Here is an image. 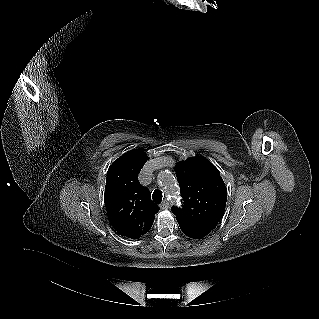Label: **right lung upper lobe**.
Masks as SVG:
<instances>
[{
	"label": "right lung upper lobe",
	"instance_id": "cb5924a9",
	"mask_svg": "<svg viewBox=\"0 0 319 319\" xmlns=\"http://www.w3.org/2000/svg\"><path fill=\"white\" fill-rule=\"evenodd\" d=\"M148 160L141 149L120 156L109 167L105 187V206L109 222L121 236L137 239L147 233L159 211L148 188L138 174Z\"/></svg>",
	"mask_w": 319,
	"mask_h": 319
}]
</instances>
